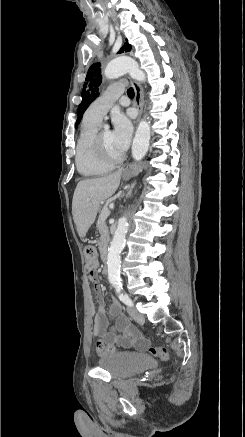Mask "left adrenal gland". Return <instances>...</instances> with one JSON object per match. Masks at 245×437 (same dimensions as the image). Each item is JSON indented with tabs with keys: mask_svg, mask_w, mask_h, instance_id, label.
Instances as JSON below:
<instances>
[{
	"mask_svg": "<svg viewBox=\"0 0 245 437\" xmlns=\"http://www.w3.org/2000/svg\"><path fill=\"white\" fill-rule=\"evenodd\" d=\"M134 186H135V184H133V185L130 187V189H129L128 193H127V197H130V196H131V194H132V190H133Z\"/></svg>",
	"mask_w": 245,
	"mask_h": 437,
	"instance_id": "obj_1",
	"label": "left adrenal gland"
}]
</instances>
